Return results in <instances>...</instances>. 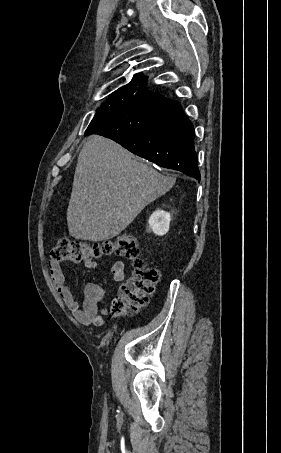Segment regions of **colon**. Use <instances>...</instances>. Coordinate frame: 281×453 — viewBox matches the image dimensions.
<instances>
[{"mask_svg":"<svg viewBox=\"0 0 281 453\" xmlns=\"http://www.w3.org/2000/svg\"><path fill=\"white\" fill-rule=\"evenodd\" d=\"M101 257H120L133 260L132 275L126 279L113 305L115 312L142 305L159 280L156 269L146 266L141 258L137 240L113 238L92 243L84 239L61 237L51 253L53 262H94Z\"/></svg>","mask_w":281,"mask_h":453,"instance_id":"5ec220e1","label":"colon"}]
</instances>
